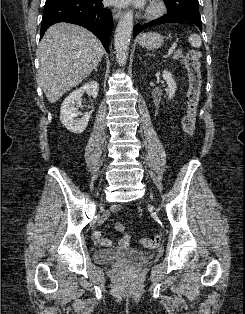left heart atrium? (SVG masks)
<instances>
[{
    "mask_svg": "<svg viewBox=\"0 0 245 314\" xmlns=\"http://www.w3.org/2000/svg\"><path fill=\"white\" fill-rule=\"evenodd\" d=\"M109 1L116 5H125L128 2L133 1V0H109Z\"/></svg>",
    "mask_w": 245,
    "mask_h": 314,
    "instance_id": "39dd6f15",
    "label": "left heart atrium"
}]
</instances>
